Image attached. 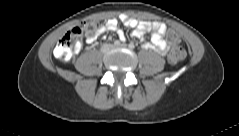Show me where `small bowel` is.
<instances>
[{"label": "small bowel", "instance_id": "obj_1", "mask_svg": "<svg viewBox=\"0 0 239 136\" xmlns=\"http://www.w3.org/2000/svg\"><path fill=\"white\" fill-rule=\"evenodd\" d=\"M119 21L125 26L132 29L131 35L134 37H143L147 32L151 33L150 41L145 42V47L153 49L154 51L165 54L168 51V43L165 40V33L167 27L162 22H139L126 15H121ZM118 20L113 18L108 20L101 28L100 33L116 31L118 38L121 41L126 39L124 32L118 30ZM95 41V38H87L86 43L91 44Z\"/></svg>", "mask_w": 239, "mask_h": 136}]
</instances>
